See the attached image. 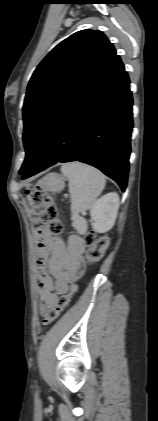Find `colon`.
Masks as SVG:
<instances>
[{
  "mask_svg": "<svg viewBox=\"0 0 158 421\" xmlns=\"http://www.w3.org/2000/svg\"><path fill=\"white\" fill-rule=\"evenodd\" d=\"M28 201L34 211V223L38 226V232L44 231L52 235L62 232V223L58 218V209L53 197L42 187H35L28 192ZM88 247L86 259L89 263L100 261L108 247V238L105 235L89 233L85 236ZM77 287L72 285L70 292L61 295L54 307L45 310L43 321L50 324L59 318L61 313L68 307Z\"/></svg>",
  "mask_w": 158,
  "mask_h": 421,
  "instance_id": "5ec220e1",
  "label": "colon"
}]
</instances>
